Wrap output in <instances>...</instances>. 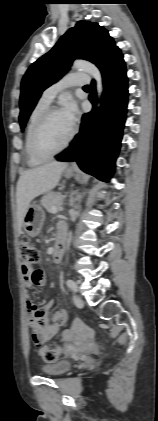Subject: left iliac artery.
<instances>
[{"label": "left iliac artery", "instance_id": "44dca946", "mask_svg": "<svg viewBox=\"0 0 158 421\" xmlns=\"http://www.w3.org/2000/svg\"><path fill=\"white\" fill-rule=\"evenodd\" d=\"M66 284L72 291H74V292L77 291V285L73 280H67Z\"/></svg>", "mask_w": 158, "mask_h": 421}]
</instances>
